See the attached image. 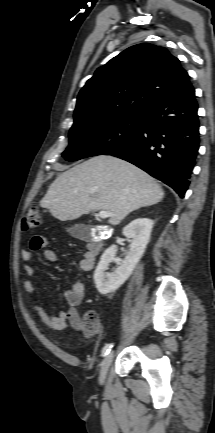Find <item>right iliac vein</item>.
Returning a JSON list of instances; mask_svg holds the SVG:
<instances>
[{
	"label": "right iliac vein",
	"mask_w": 215,
	"mask_h": 433,
	"mask_svg": "<svg viewBox=\"0 0 215 433\" xmlns=\"http://www.w3.org/2000/svg\"><path fill=\"white\" fill-rule=\"evenodd\" d=\"M114 358V352H110L106 355V357L104 358V360L102 361L101 364V370H100V376H99V381L100 383H104L105 379H106V375L108 372V369L113 361Z\"/></svg>",
	"instance_id": "right-iliac-vein-1"
}]
</instances>
